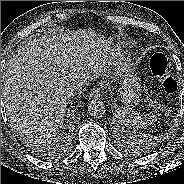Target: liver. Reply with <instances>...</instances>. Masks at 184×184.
Instances as JSON below:
<instances>
[{
    "instance_id": "6515ba94",
    "label": "liver",
    "mask_w": 184,
    "mask_h": 184,
    "mask_svg": "<svg viewBox=\"0 0 184 184\" xmlns=\"http://www.w3.org/2000/svg\"><path fill=\"white\" fill-rule=\"evenodd\" d=\"M53 41L43 36L18 47L3 84L10 118L35 132L34 142L40 144L50 143L63 122L72 78L95 72L106 47L95 32L71 35L63 46Z\"/></svg>"
}]
</instances>
